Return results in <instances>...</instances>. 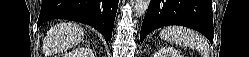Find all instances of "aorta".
Returning a JSON list of instances; mask_svg holds the SVG:
<instances>
[{"label": "aorta", "mask_w": 249, "mask_h": 57, "mask_svg": "<svg viewBox=\"0 0 249 57\" xmlns=\"http://www.w3.org/2000/svg\"><path fill=\"white\" fill-rule=\"evenodd\" d=\"M150 4V0H135L134 1V16L140 18L146 14Z\"/></svg>", "instance_id": "1"}]
</instances>
